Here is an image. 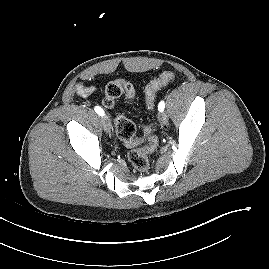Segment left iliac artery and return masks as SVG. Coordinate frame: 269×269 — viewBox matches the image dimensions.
Here are the masks:
<instances>
[{
    "label": "left iliac artery",
    "instance_id": "left-iliac-artery-1",
    "mask_svg": "<svg viewBox=\"0 0 269 269\" xmlns=\"http://www.w3.org/2000/svg\"><path fill=\"white\" fill-rule=\"evenodd\" d=\"M164 108H165V102H164V101H161V102L159 103V105H158V110H159L160 112H162V111L164 110Z\"/></svg>",
    "mask_w": 269,
    "mask_h": 269
}]
</instances>
